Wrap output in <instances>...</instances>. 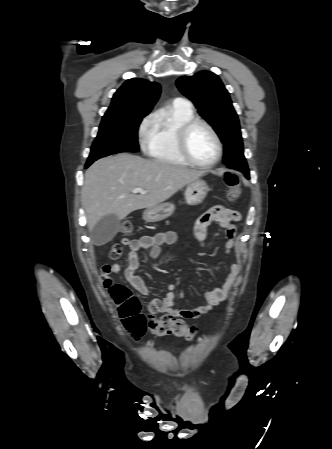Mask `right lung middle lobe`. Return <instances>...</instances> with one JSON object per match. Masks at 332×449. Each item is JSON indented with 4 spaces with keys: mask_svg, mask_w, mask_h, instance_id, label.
Segmentation results:
<instances>
[{
    "mask_svg": "<svg viewBox=\"0 0 332 449\" xmlns=\"http://www.w3.org/2000/svg\"><path fill=\"white\" fill-rule=\"evenodd\" d=\"M145 115L103 117L86 167L99 158L120 153L138 152V128Z\"/></svg>",
    "mask_w": 332,
    "mask_h": 449,
    "instance_id": "right-lung-middle-lobe-1",
    "label": "right lung middle lobe"
}]
</instances>
